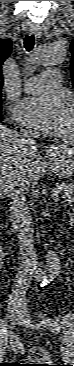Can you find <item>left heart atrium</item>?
Instances as JSON below:
<instances>
[{
  "label": "left heart atrium",
  "mask_w": 74,
  "mask_h": 366,
  "mask_svg": "<svg viewBox=\"0 0 74 366\" xmlns=\"http://www.w3.org/2000/svg\"><path fill=\"white\" fill-rule=\"evenodd\" d=\"M66 99L59 92L28 97L18 106L17 118L23 124L42 132L59 130L65 113Z\"/></svg>",
  "instance_id": "obj_1"
}]
</instances>
